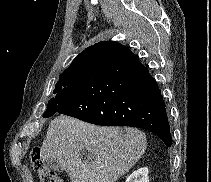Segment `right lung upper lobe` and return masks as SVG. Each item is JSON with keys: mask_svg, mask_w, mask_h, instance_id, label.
I'll return each mask as SVG.
<instances>
[{"mask_svg": "<svg viewBox=\"0 0 211 182\" xmlns=\"http://www.w3.org/2000/svg\"><path fill=\"white\" fill-rule=\"evenodd\" d=\"M93 46H90L85 49L82 53H80L74 60L73 63L69 66V68L76 67V66H86V63L88 61L90 52L92 50Z\"/></svg>", "mask_w": 211, "mask_h": 182, "instance_id": "1", "label": "right lung upper lobe"}]
</instances>
